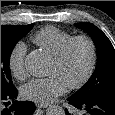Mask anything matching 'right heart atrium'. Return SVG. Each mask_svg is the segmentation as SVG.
Wrapping results in <instances>:
<instances>
[{
    "label": "right heart atrium",
    "mask_w": 115,
    "mask_h": 115,
    "mask_svg": "<svg viewBox=\"0 0 115 115\" xmlns=\"http://www.w3.org/2000/svg\"><path fill=\"white\" fill-rule=\"evenodd\" d=\"M27 47L23 42L16 43L8 57V67L14 78L24 81L28 77L25 64Z\"/></svg>",
    "instance_id": "obj_1"
}]
</instances>
